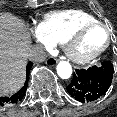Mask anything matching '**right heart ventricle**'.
I'll use <instances>...</instances> for the list:
<instances>
[{
	"instance_id": "e07e8e85",
	"label": "right heart ventricle",
	"mask_w": 117,
	"mask_h": 117,
	"mask_svg": "<svg viewBox=\"0 0 117 117\" xmlns=\"http://www.w3.org/2000/svg\"><path fill=\"white\" fill-rule=\"evenodd\" d=\"M93 21L98 20L90 13L70 9L47 14L41 25L55 42L63 43L77 28Z\"/></svg>"
}]
</instances>
